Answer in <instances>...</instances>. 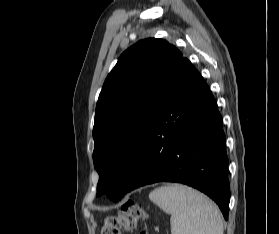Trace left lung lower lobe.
<instances>
[{
	"instance_id": "0a47b994",
	"label": "left lung lower lobe",
	"mask_w": 279,
	"mask_h": 234,
	"mask_svg": "<svg viewBox=\"0 0 279 234\" xmlns=\"http://www.w3.org/2000/svg\"><path fill=\"white\" fill-rule=\"evenodd\" d=\"M222 117L200 73L182 57L151 121L124 194L171 181L212 198L228 219L230 186Z\"/></svg>"
}]
</instances>
